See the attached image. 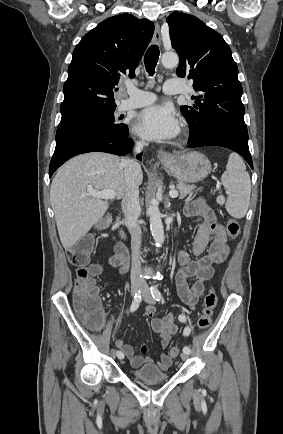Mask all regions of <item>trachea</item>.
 Returning <instances> with one entry per match:
<instances>
[{"mask_svg":"<svg viewBox=\"0 0 283 434\" xmlns=\"http://www.w3.org/2000/svg\"><path fill=\"white\" fill-rule=\"evenodd\" d=\"M159 54L160 52L157 45H151L145 53L144 64L149 75H154L155 73V67L159 59Z\"/></svg>","mask_w":283,"mask_h":434,"instance_id":"trachea-1","label":"trachea"}]
</instances>
